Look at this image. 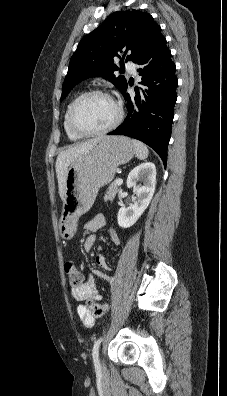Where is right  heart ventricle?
<instances>
[{"instance_id":"1","label":"right heart ventricle","mask_w":227,"mask_h":396,"mask_svg":"<svg viewBox=\"0 0 227 396\" xmlns=\"http://www.w3.org/2000/svg\"><path fill=\"white\" fill-rule=\"evenodd\" d=\"M74 100L70 101L65 109L64 112V116H63V127H64V131L67 135V137L71 140V141H78L82 138V136L77 135L76 133H74L72 131V129L69 126V122H68V116H69V111H70V107L72 105Z\"/></svg>"}]
</instances>
